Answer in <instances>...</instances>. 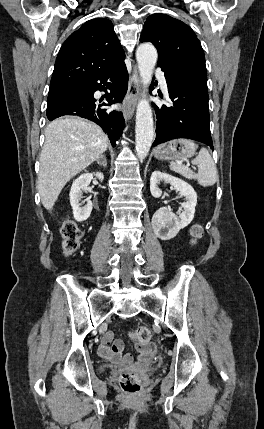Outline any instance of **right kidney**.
<instances>
[{
	"mask_svg": "<svg viewBox=\"0 0 264 429\" xmlns=\"http://www.w3.org/2000/svg\"><path fill=\"white\" fill-rule=\"evenodd\" d=\"M94 176L97 177L100 181H103L104 179V174L101 172L85 173L73 181L71 186L69 194L70 204L73 209L74 219L78 222L87 220L92 212L93 204L90 199H86V204L84 206H81L82 203H80V201L82 198V193L86 192V189L93 180Z\"/></svg>",
	"mask_w": 264,
	"mask_h": 429,
	"instance_id": "1",
	"label": "right kidney"
}]
</instances>
